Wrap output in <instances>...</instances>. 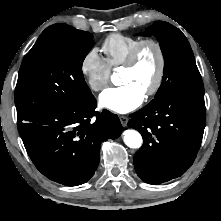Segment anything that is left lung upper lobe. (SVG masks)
Returning a JSON list of instances; mask_svg holds the SVG:
<instances>
[{
	"mask_svg": "<svg viewBox=\"0 0 221 221\" xmlns=\"http://www.w3.org/2000/svg\"><path fill=\"white\" fill-rule=\"evenodd\" d=\"M143 35L157 38L165 61L162 83L155 98L165 94H181L203 99L202 78L184 34L177 27L158 21Z\"/></svg>",
	"mask_w": 221,
	"mask_h": 221,
	"instance_id": "1",
	"label": "left lung upper lobe"
}]
</instances>
